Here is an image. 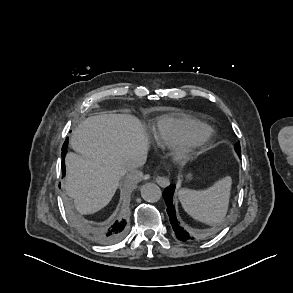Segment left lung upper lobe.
<instances>
[{
	"mask_svg": "<svg viewBox=\"0 0 293 293\" xmlns=\"http://www.w3.org/2000/svg\"><path fill=\"white\" fill-rule=\"evenodd\" d=\"M235 150H236L237 153H240L241 152V150H240V143L239 142L236 143Z\"/></svg>",
	"mask_w": 293,
	"mask_h": 293,
	"instance_id": "5c2ea615",
	"label": "left lung upper lobe"
}]
</instances>
